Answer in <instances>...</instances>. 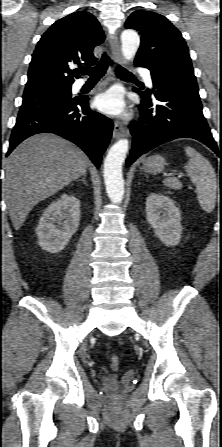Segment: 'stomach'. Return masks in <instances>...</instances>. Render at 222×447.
<instances>
[{
  "label": "stomach",
  "instance_id": "obj_1",
  "mask_svg": "<svg viewBox=\"0 0 222 447\" xmlns=\"http://www.w3.org/2000/svg\"><path fill=\"white\" fill-rule=\"evenodd\" d=\"M166 165L165 159L160 155L148 157L143 163V169L149 173H159Z\"/></svg>",
  "mask_w": 222,
  "mask_h": 447
}]
</instances>
